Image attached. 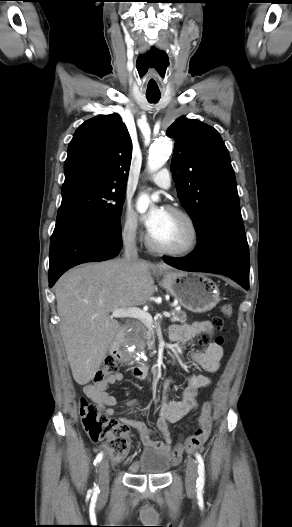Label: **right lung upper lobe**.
I'll list each match as a JSON object with an SVG mask.
<instances>
[{"instance_id":"cb5924a9","label":"right lung upper lobe","mask_w":292,"mask_h":527,"mask_svg":"<svg viewBox=\"0 0 292 527\" xmlns=\"http://www.w3.org/2000/svg\"><path fill=\"white\" fill-rule=\"evenodd\" d=\"M132 142L118 114L84 122L68 146L65 183L86 181L126 189Z\"/></svg>"}]
</instances>
